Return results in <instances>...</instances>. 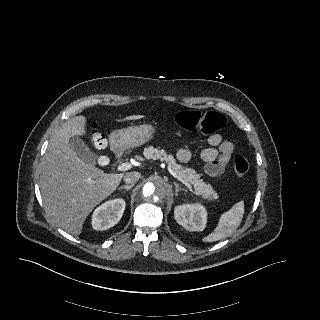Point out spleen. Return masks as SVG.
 Returning a JSON list of instances; mask_svg holds the SVG:
<instances>
[{
	"instance_id": "3e777b00",
	"label": "spleen",
	"mask_w": 320,
	"mask_h": 320,
	"mask_svg": "<svg viewBox=\"0 0 320 320\" xmlns=\"http://www.w3.org/2000/svg\"><path fill=\"white\" fill-rule=\"evenodd\" d=\"M244 215V202L241 200L224 212L214 231L203 238V242H214L231 235L241 224Z\"/></svg>"
}]
</instances>
